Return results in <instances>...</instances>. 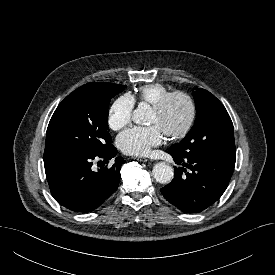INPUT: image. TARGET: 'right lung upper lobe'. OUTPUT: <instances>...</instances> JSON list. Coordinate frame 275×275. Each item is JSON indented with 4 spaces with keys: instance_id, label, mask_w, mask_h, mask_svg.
<instances>
[{
    "instance_id": "1",
    "label": "right lung upper lobe",
    "mask_w": 275,
    "mask_h": 275,
    "mask_svg": "<svg viewBox=\"0 0 275 275\" xmlns=\"http://www.w3.org/2000/svg\"><path fill=\"white\" fill-rule=\"evenodd\" d=\"M92 84H104V83H88V84H85V85H92ZM83 85V86H85Z\"/></svg>"
}]
</instances>
